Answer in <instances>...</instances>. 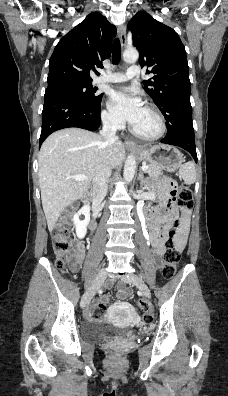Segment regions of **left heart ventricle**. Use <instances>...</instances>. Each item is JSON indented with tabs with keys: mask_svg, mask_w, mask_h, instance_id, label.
Segmentation results:
<instances>
[{
	"mask_svg": "<svg viewBox=\"0 0 228 396\" xmlns=\"http://www.w3.org/2000/svg\"><path fill=\"white\" fill-rule=\"evenodd\" d=\"M133 127L143 135H153L158 132L159 130V123L157 118L154 116L152 112L147 110L146 108L143 109L139 120Z\"/></svg>",
	"mask_w": 228,
	"mask_h": 396,
	"instance_id": "b2bd125f",
	"label": "left heart ventricle"
}]
</instances>
